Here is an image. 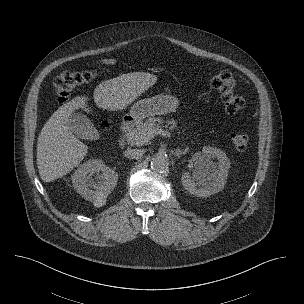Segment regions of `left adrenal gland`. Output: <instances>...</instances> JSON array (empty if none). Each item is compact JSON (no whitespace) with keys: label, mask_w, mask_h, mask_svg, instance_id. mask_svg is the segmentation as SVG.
<instances>
[{"label":"left adrenal gland","mask_w":304,"mask_h":304,"mask_svg":"<svg viewBox=\"0 0 304 304\" xmlns=\"http://www.w3.org/2000/svg\"><path fill=\"white\" fill-rule=\"evenodd\" d=\"M189 147L187 146L184 150L176 149L174 155L177 156L178 158L181 157V155L186 154L188 151Z\"/></svg>","instance_id":"a2214340"}]
</instances>
